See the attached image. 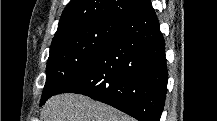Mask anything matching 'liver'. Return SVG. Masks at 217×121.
Listing matches in <instances>:
<instances>
[{
	"label": "liver",
	"mask_w": 217,
	"mask_h": 121,
	"mask_svg": "<svg viewBox=\"0 0 217 121\" xmlns=\"http://www.w3.org/2000/svg\"><path fill=\"white\" fill-rule=\"evenodd\" d=\"M41 121H134L104 103L78 94L52 96L41 110Z\"/></svg>",
	"instance_id": "obj_1"
}]
</instances>
